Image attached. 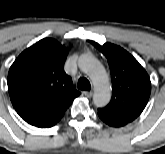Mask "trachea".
I'll return each mask as SVG.
<instances>
[{"label":"trachea","instance_id":"trachea-1","mask_svg":"<svg viewBox=\"0 0 165 154\" xmlns=\"http://www.w3.org/2000/svg\"><path fill=\"white\" fill-rule=\"evenodd\" d=\"M77 88L83 91L90 90V82L87 78L82 77L78 80Z\"/></svg>","mask_w":165,"mask_h":154}]
</instances>
